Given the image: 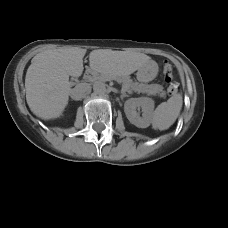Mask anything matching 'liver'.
<instances>
[{"mask_svg":"<svg viewBox=\"0 0 228 228\" xmlns=\"http://www.w3.org/2000/svg\"><path fill=\"white\" fill-rule=\"evenodd\" d=\"M86 49L77 47L44 51L32 59L25 77L26 101L34 115L49 120L59 117L68 104L69 76L82 75ZM149 63L142 53L94 50L90 68L109 77H127Z\"/></svg>","mask_w":228,"mask_h":228,"instance_id":"6515ba94","label":"liver"}]
</instances>
